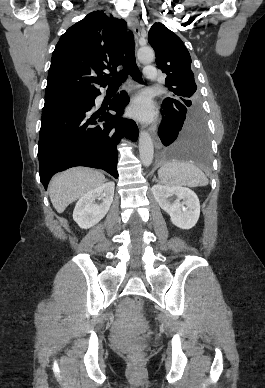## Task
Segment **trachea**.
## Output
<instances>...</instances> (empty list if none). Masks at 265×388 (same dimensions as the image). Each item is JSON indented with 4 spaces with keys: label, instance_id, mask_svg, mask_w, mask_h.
<instances>
[{
    "label": "trachea",
    "instance_id": "3493384b",
    "mask_svg": "<svg viewBox=\"0 0 265 388\" xmlns=\"http://www.w3.org/2000/svg\"><path fill=\"white\" fill-rule=\"evenodd\" d=\"M133 38H134L133 34L130 31L129 42L126 49L123 69L120 72L113 75V77L106 79V82L108 83L109 86L120 85L121 83L124 82L128 74H130L131 77L136 81L141 80V72L136 64V59H135V52H134L135 43Z\"/></svg>",
    "mask_w": 265,
    "mask_h": 388
}]
</instances>
